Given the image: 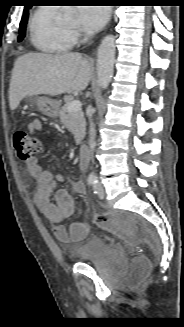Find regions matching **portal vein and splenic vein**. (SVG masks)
<instances>
[{
	"mask_svg": "<svg viewBox=\"0 0 184 327\" xmlns=\"http://www.w3.org/2000/svg\"><path fill=\"white\" fill-rule=\"evenodd\" d=\"M69 112H77L81 109V102L79 100H74L68 103L67 105Z\"/></svg>",
	"mask_w": 184,
	"mask_h": 327,
	"instance_id": "1",
	"label": "portal vein and splenic vein"
}]
</instances>
